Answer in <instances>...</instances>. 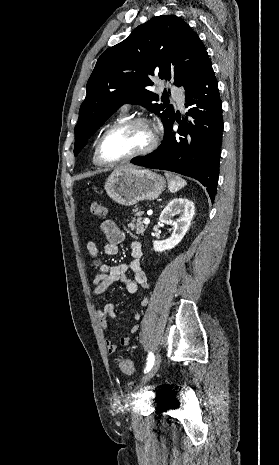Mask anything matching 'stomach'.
Listing matches in <instances>:
<instances>
[{
	"mask_svg": "<svg viewBox=\"0 0 279 465\" xmlns=\"http://www.w3.org/2000/svg\"><path fill=\"white\" fill-rule=\"evenodd\" d=\"M165 187L164 178L148 169L120 167L106 179L108 196L120 205L132 206L141 201L154 200Z\"/></svg>",
	"mask_w": 279,
	"mask_h": 465,
	"instance_id": "obj_1",
	"label": "stomach"
}]
</instances>
